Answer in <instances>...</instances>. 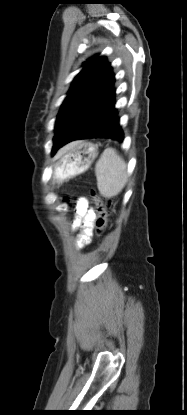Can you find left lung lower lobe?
<instances>
[{
  "mask_svg": "<svg viewBox=\"0 0 187 415\" xmlns=\"http://www.w3.org/2000/svg\"><path fill=\"white\" fill-rule=\"evenodd\" d=\"M115 78L107 64L91 87L78 115L66 130L56 151L65 144L79 139L109 138L119 142L124 139L115 109Z\"/></svg>",
  "mask_w": 187,
  "mask_h": 415,
  "instance_id": "1",
  "label": "left lung lower lobe"
}]
</instances>
